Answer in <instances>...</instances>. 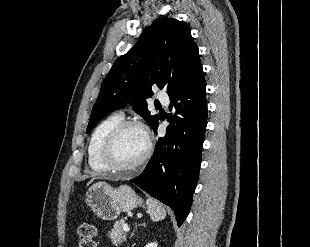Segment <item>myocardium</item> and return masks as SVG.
<instances>
[{
	"instance_id": "obj_1",
	"label": "myocardium",
	"mask_w": 310,
	"mask_h": 247,
	"mask_svg": "<svg viewBox=\"0 0 310 247\" xmlns=\"http://www.w3.org/2000/svg\"><path fill=\"white\" fill-rule=\"evenodd\" d=\"M138 128L143 131L146 137V149L143 155L134 164L129 166H119L115 164L113 160V148L114 144L119 135L127 128ZM152 151V140L147 127L135 120H122L119 122L105 137L101 149H100V160L105 166L107 171L115 174H123L136 171L140 169L150 157Z\"/></svg>"
}]
</instances>
